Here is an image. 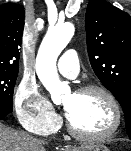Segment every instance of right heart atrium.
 Here are the masks:
<instances>
[{"mask_svg": "<svg viewBox=\"0 0 131 151\" xmlns=\"http://www.w3.org/2000/svg\"><path fill=\"white\" fill-rule=\"evenodd\" d=\"M14 109L20 124L35 134H49L60 122V117L51 103L30 80H22L17 87L14 94Z\"/></svg>", "mask_w": 131, "mask_h": 151, "instance_id": "right-heart-atrium-1", "label": "right heart atrium"}]
</instances>
